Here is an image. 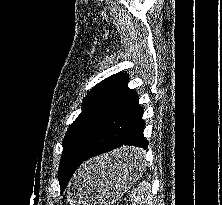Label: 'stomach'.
<instances>
[{
    "mask_svg": "<svg viewBox=\"0 0 222 205\" xmlns=\"http://www.w3.org/2000/svg\"><path fill=\"white\" fill-rule=\"evenodd\" d=\"M131 148H122L85 163L67 191L70 205H110L119 200L141 178L146 164L116 163V158Z\"/></svg>",
    "mask_w": 222,
    "mask_h": 205,
    "instance_id": "stomach-1",
    "label": "stomach"
}]
</instances>
